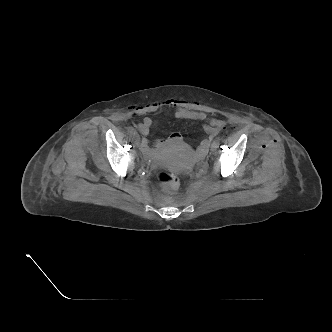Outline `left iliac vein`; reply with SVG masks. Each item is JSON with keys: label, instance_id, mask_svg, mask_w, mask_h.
I'll return each instance as SVG.
<instances>
[{"label": "left iliac vein", "instance_id": "obj_1", "mask_svg": "<svg viewBox=\"0 0 332 332\" xmlns=\"http://www.w3.org/2000/svg\"><path fill=\"white\" fill-rule=\"evenodd\" d=\"M217 149L216 144L213 142L212 147H211V151L214 152Z\"/></svg>", "mask_w": 332, "mask_h": 332}]
</instances>
